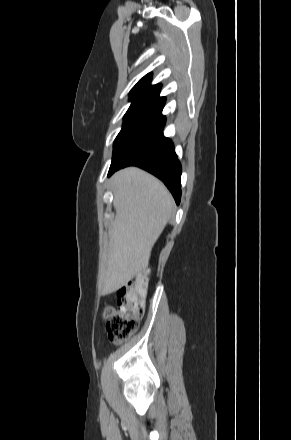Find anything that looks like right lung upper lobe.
<instances>
[{
    "label": "right lung upper lobe",
    "instance_id": "cb5924a9",
    "mask_svg": "<svg viewBox=\"0 0 291 440\" xmlns=\"http://www.w3.org/2000/svg\"><path fill=\"white\" fill-rule=\"evenodd\" d=\"M152 74L149 73L144 76L131 90L130 100L132 102L136 101H155L159 98V93L161 89L160 84L151 85Z\"/></svg>",
    "mask_w": 291,
    "mask_h": 440
}]
</instances>
